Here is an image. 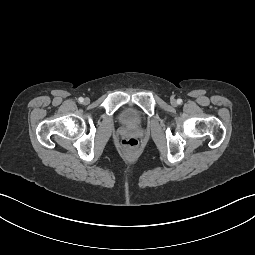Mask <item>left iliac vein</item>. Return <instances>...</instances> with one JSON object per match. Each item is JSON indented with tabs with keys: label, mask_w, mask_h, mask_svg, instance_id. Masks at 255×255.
I'll use <instances>...</instances> for the list:
<instances>
[{
	"label": "left iliac vein",
	"mask_w": 255,
	"mask_h": 255,
	"mask_svg": "<svg viewBox=\"0 0 255 255\" xmlns=\"http://www.w3.org/2000/svg\"><path fill=\"white\" fill-rule=\"evenodd\" d=\"M171 104L175 106L177 104V101L175 99H171Z\"/></svg>",
	"instance_id": "4c4485c4"
}]
</instances>
